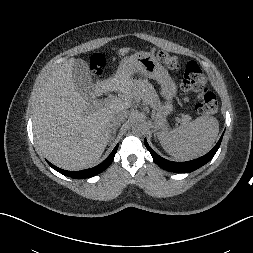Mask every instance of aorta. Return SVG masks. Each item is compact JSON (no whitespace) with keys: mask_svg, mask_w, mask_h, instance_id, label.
<instances>
[{"mask_svg":"<svg viewBox=\"0 0 253 253\" xmlns=\"http://www.w3.org/2000/svg\"><path fill=\"white\" fill-rule=\"evenodd\" d=\"M132 131L137 135H144L147 131V123L143 119L137 118L133 122Z\"/></svg>","mask_w":253,"mask_h":253,"instance_id":"762f6f07","label":"aorta"}]
</instances>
